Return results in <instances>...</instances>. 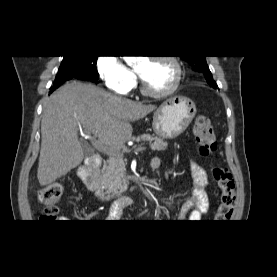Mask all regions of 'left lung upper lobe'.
<instances>
[{"label": "left lung upper lobe", "instance_id": "5c2ea615", "mask_svg": "<svg viewBox=\"0 0 277 277\" xmlns=\"http://www.w3.org/2000/svg\"><path fill=\"white\" fill-rule=\"evenodd\" d=\"M180 57L185 61H187L190 65H192L195 70H197L198 72H201L210 86L214 88L217 87V84L214 81L212 74L209 70V67L207 65L205 56H180Z\"/></svg>", "mask_w": 277, "mask_h": 277}]
</instances>
